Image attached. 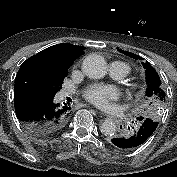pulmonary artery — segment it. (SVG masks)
<instances>
[{
  "label": "pulmonary artery",
  "instance_id": "e3ab8cb5",
  "mask_svg": "<svg viewBox=\"0 0 177 177\" xmlns=\"http://www.w3.org/2000/svg\"><path fill=\"white\" fill-rule=\"evenodd\" d=\"M129 72V67L123 62L116 61L110 65L109 75L113 79H123L129 74ZM67 95L68 93L65 92L62 94V97H65Z\"/></svg>",
  "mask_w": 177,
  "mask_h": 177
}]
</instances>
